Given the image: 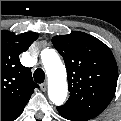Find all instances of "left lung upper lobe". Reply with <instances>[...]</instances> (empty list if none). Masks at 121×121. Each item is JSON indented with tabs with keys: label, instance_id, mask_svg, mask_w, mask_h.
Masks as SVG:
<instances>
[{
	"label": "left lung upper lobe",
	"instance_id": "left-lung-upper-lobe-1",
	"mask_svg": "<svg viewBox=\"0 0 121 121\" xmlns=\"http://www.w3.org/2000/svg\"><path fill=\"white\" fill-rule=\"evenodd\" d=\"M64 58L70 97L58 112L73 121H87L99 115L112 100L118 69L111 50L97 38L72 32L52 38Z\"/></svg>",
	"mask_w": 121,
	"mask_h": 121
}]
</instances>
